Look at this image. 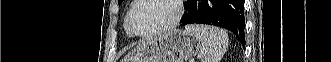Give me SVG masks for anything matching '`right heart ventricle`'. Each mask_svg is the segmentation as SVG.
I'll list each match as a JSON object with an SVG mask.
<instances>
[{
  "instance_id": "e07e8e85",
  "label": "right heart ventricle",
  "mask_w": 331,
  "mask_h": 62,
  "mask_svg": "<svg viewBox=\"0 0 331 62\" xmlns=\"http://www.w3.org/2000/svg\"><path fill=\"white\" fill-rule=\"evenodd\" d=\"M124 29H125V32L127 34L128 37H132L133 35L131 34L129 28H128V25H127V16L125 17V20H124Z\"/></svg>"
}]
</instances>
